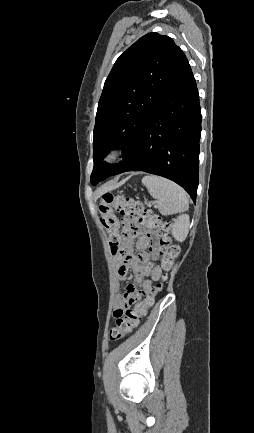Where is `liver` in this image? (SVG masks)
<instances>
[{"label": "liver", "mask_w": 254, "mask_h": 433, "mask_svg": "<svg viewBox=\"0 0 254 433\" xmlns=\"http://www.w3.org/2000/svg\"><path fill=\"white\" fill-rule=\"evenodd\" d=\"M114 186H115V185H113V184L104 185V186H102V187L97 191V193H98V194H101V193H103L104 191L113 188Z\"/></svg>", "instance_id": "6515ba94"}]
</instances>
